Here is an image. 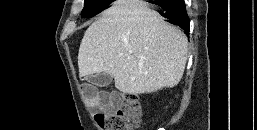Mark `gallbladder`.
<instances>
[{"label":"gallbladder","mask_w":257,"mask_h":130,"mask_svg":"<svg viewBox=\"0 0 257 130\" xmlns=\"http://www.w3.org/2000/svg\"><path fill=\"white\" fill-rule=\"evenodd\" d=\"M88 82L98 87L108 86L112 82V76L107 73H99L86 78Z\"/></svg>","instance_id":"obj_1"}]
</instances>
